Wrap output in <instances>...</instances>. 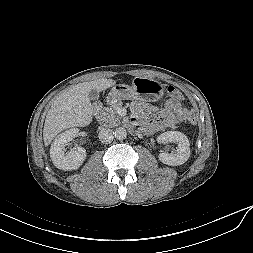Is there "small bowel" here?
Masks as SVG:
<instances>
[{
  "label": "small bowel",
  "instance_id": "1",
  "mask_svg": "<svg viewBox=\"0 0 253 253\" xmlns=\"http://www.w3.org/2000/svg\"><path fill=\"white\" fill-rule=\"evenodd\" d=\"M133 119L131 127L141 126L146 133L153 134L175 127L188 118L189 110L181 101L169 99L158 111L148 103L136 101L131 105Z\"/></svg>",
  "mask_w": 253,
  "mask_h": 253
}]
</instances>
